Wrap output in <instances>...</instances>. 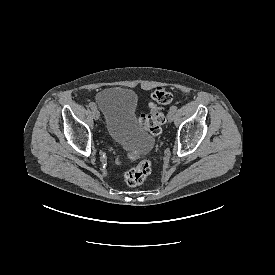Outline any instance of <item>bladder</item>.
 I'll list each match as a JSON object with an SVG mask.
<instances>
[{"label":"bladder","instance_id":"obj_1","mask_svg":"<svg viewBox=\"0 0 275 275\" xmlns=\"http://www.w3.org/2000/svg\"><path fill=\"white\" fill-rule=\"evenodd\" d=\"M96 104L103 112L111 141L136 154L152 150L154 139L138 123L137 96L133 90L124 87L104 89L96 95Z\"/></svg>","mask_w":275,"mask_h":275}]
</instances>
